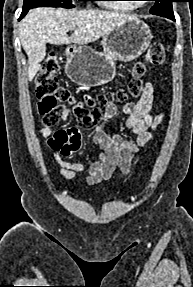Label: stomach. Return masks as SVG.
<instances>
[{
    "instance_id": "obj_1",
    "label": "stomach",
    "mask_w": 193,
    "mask_h": 287,
    "mask_svg": "<svg viewBox=\"0 0 193 287\" xmlns=\"http://www.w3.org/2000/svg\"><path fill=\"white\" fill-rule=\"evenodd\" d=\"M153 36L149 26L130 19L103 36V52L88 46L66 49L65 71L70 80L84 87H96L110 82L116 72L115 62L137 59L149 47Z\"/></svg>"
}]
</instances>
